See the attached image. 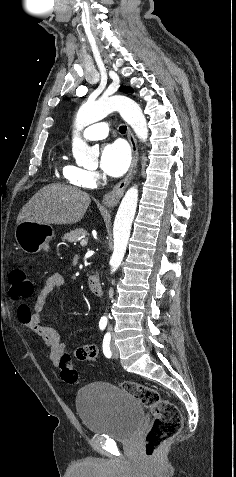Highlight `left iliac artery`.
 Masks as SVG:
<instances>
[{
	"label": "left iliac artery",
	"mask_w": 236,
	"mask_h": 477,
	"mask_svg": "<svg viewBox=\"0 0 236 477\" xmlns=\"http://www.w3.org/2000/svg\"><path fill=\"white\" fill-rule=\"evenodd\" d=\"M110 340H111V335L109 332H107L104 336L103 344H102L103 353L107 358L111 357Z\"/></svg>",
	"instance_id": "left-iliac-artery-1"
}]
</instances>
